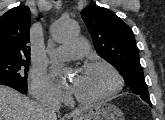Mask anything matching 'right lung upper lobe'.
<instances>
[{
	"label": "right lung upper lobe",
	"mask_w": 165,
	"mask_h": 120,
	"mask_svg": "<svg viewBox=\"0 0 165 120\" xmlns=\"http://www.w3.org/2000/svg\"><path fill=\"white\" fill-rule=\"evenodd\" d=\"M30 10L12 8L0 17V58H30Z\"/></svg>",
	"instance_id": "obj_1"
}]
</instances>
